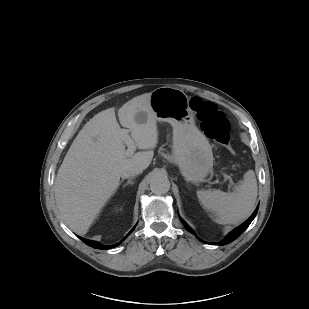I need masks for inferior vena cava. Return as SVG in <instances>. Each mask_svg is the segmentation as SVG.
Returning <instances> with one entry per match:
<instances>
[{"label": "inferior vena cava", "instance_id": "1", "mask_svg": "<svg viewBox=\"0 0 309 309\" xmlns=\"http://www.w3.org/2000/svg\"><path fill=\"white\" fill-rule=\"evenodd\" d=\"M142 171H143V169L141 167H138V166L132 167V168H129L126 171H124L121 174V177L124 179V178L130 177V176L141 174Z\"/></svg>", "mask_w": 309, "mask_h": 309}]
</instances>
